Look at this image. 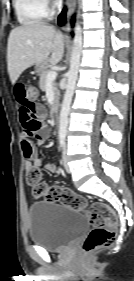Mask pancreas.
Masks as SVG:
<instances>
[{
  "mask_svg": "<svg viewBox=\"0 0 134 281\" xmlns=\"http://www.w3.org/2000/svg\"><path fill=\"white\" fill-rule=\"evenodd\" d=\"M50 69H45L40 73V82H39V87L42 91H45L46 89V84H47V75L50 72ZM52 88L54 91V102L53 105L51 107V111L56 110V108L58 107V102H59V90L57 88V84L53 81L52 82Z\"/></svg>",
  "mask_w": 134,
  "mask_h": 281,
  "instance_id": "1",
  "label": "pancreas"
}]
</instances>
